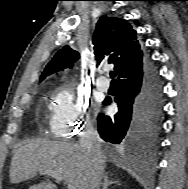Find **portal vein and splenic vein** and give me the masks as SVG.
<instances>
[{
  "label": "portal vein and splenic vein",
  "instance_id": "18ae733b",
  "mask_svg": "<svg viewBox=\"0 0 188 189\" xmlns=\"http://www.w3.org/2000/svg\"><path fill=\"white\" fill-rule=\"evenodd\" d=\"M40 174L49 175L59 182L63 181V178L58 173H56L55 171H52V170H40ZM68 189H76V187L70 184V185H68Z\"/></svg>",
  "mask_w": 188,
  "mask_h": 189
}]
</instances>
